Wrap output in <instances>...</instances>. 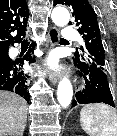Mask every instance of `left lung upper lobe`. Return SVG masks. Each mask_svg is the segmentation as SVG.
Instances as JSON below:
<instances>
[{
	"label": "left lung upper lobe",
	"mask_w": 117,
	"mask_h": 136,
	"mask_svg": "<svg viewBox=\"0 0 117 136\" xmlns=\"http://www.w3.org/2000/svg\"><path fill=\"white\" fill-rule=\"evenodd\" d=\"M56 4H65L72 8L78 31L83 35L85 45L80 48L83 54L76 51L74 56L82 61L94 62L100 69L106 71L105 51L97 17L88 0H54V5Z\"/></svg>",
	"instance_id": "5c2ea615"
}]
</instances>
